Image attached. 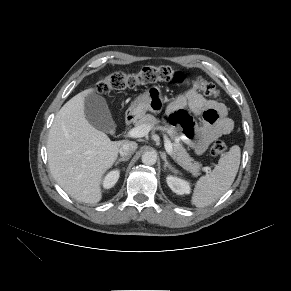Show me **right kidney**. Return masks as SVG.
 <instances>
[{"mask_svg":"<svg viewBox=\"0 0 291 291\" xmlns=\"http://www.w3.org/2000/svg\"><path fill=\"white\" fill-rule=\"evenodd\" d=\"M118 179H119V171L118 170H114V171L109 172L103 181L104 188L109 189V188L113 187L116 184V182L118 181Z\"/></svg>","mask_w":291,"mask_h":291,"instance_id":"1","label":"right kidney"}]
</instances>
